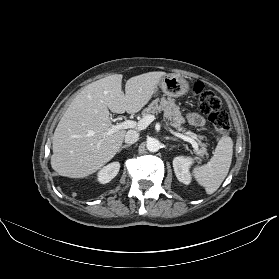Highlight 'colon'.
<instances>
[{
    "instance_id": "obj_1",
    "label": "colon",
    "mask_w": 279,
    "mask_h": 279,
    "mask_svg": "<svg viewBox=\"0 0 279 279\" xmlns=\"http://www.w3.org/2000/svg\"><path fill=\"white\" fill-rule=\"evenodd\" d=\"M193 92L198 96L201 112L208 115L216 133L227 135L231 129L228 114L221 109L220 98L212 91L205 89L204 85L197 82L193 86Z\"/></svg>"
}]
</instances>
